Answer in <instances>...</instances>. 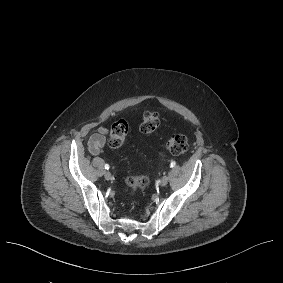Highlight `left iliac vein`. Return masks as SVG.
<instances>
[{"label":"left iliac vein","mask_w":283,"mask_h":283,"mask_svg":"<svg viewBox=\"0 0 283 283\" xmlns=\"http://www.w3.org/2000/svg\"><path fill=\"white\" fill-rule=\"evenodd\" d=\"M168 181H169L168 176H163V177L160 179V185H161V186H166V185L168 184Z\"/></svg>","instance_id":"1"}]
</instances>
